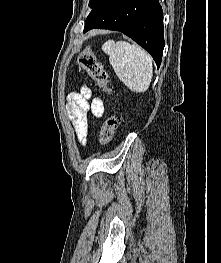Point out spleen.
<instances>
[{
  "label": "spleen",
  "instance_id": "obj_1",
  "mask_svg": "<svg viewBox=\"0 0 221 263\" xmlns=\"http://www.w3.org/2000/svg\"><path fill=\"white\" fill-rule=\"evenodd\" d=\"M118 78L133 92L147 91L152 81V57L137 45L108 40L102 45Z\"/></svg>",
  "mask_w": 221,
  "mask_h": 263
}]
</instances>
